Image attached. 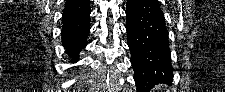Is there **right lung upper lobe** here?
<instances>
[{
  "mask_svg": "<svg viewBox=\"0 0 225 92\" xmlns=\"http://www.w3.org/2000/svg\"><path fill=\"white\" fill-rule=\"evenodd\" d=\"M89 0H67L65 2L62 21H70L90 12Z\"/></svg>",
  "mask_w": 225,
  "mask_h": 92,
  "instance_id": "cb5924a9",
  "label": "right lung upper lobe"
}]
</instances>
